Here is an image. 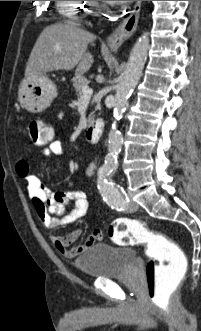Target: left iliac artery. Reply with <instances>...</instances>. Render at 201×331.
<instances>
[{
    "mask_svg": "<svg viewBox=\"0 0 201 331\" xmlns=\"http://www.w3.org/2000/svg\"><path fill=\"white\" fill-rule=\"evenodd\" d=\"M113 169L102 172L97 180L98 189L103 196L104 201L111 206L112 209L123 211L128 206L129 199L123 194L122 188L115 185L109 180Z\"/></svg>",
    "mask_w": 201,
    "mask_h": 331,
    "instance_id": "1",
    "label": "left iliac artery"
}]
</instances>
